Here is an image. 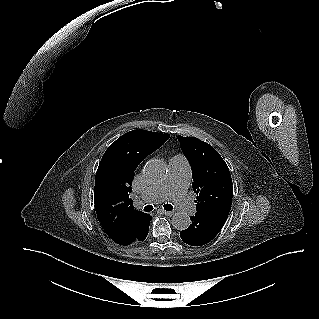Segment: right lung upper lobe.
Returning <instances> with one entry per match:
<instances>
[{
    "label": "right lung upper lobe",
    "mask_w": 319,
    "mask_h": 319,
    "mask_svg": "<svg viewBox=\"0 0 319 319\" xmlns=\"http://www.w3.org/2000/svg\"><path fill=\"white\" fill-rule=\"evenodd\" d=\"M169 137L146 130L129 131L113 142L101 159L95 178V210L105 233L119 245L146 214L134 209L129 199L134 171Z\"/></svg>",
    "instance_id": "obj_1"
}]
</instances>
